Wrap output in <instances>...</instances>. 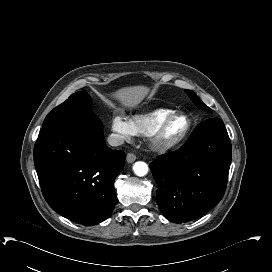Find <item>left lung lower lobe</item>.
Segmentation results:
<instances>
[{"label": "left lung lower lobe", "mask_w": 272, "mask_h": 272, "mask_svg": "<svg viewBox=\"0 0 272 272\" xmlns=\"http://www.w3.org/2000/svg\"><path fill=\"white\" fill-rule=\"evenodd\" d=\"M231 159L224 123L210 118L198 124L180 149L150 164L163 214L183 223L213 208L224 195Z\"/></svg>", "instance_id": "1"}]
</instances>
